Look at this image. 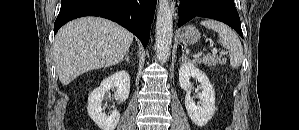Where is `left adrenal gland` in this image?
I'll return each mask as SVG.
<instances>
[{
	"label": "left adrenal gland",
	"mask_w": 299,
	"mask_h": 130,
	"mask_svg": "<svg viewBox=\"0 0 299 130\" xmlns=\"http://www.w3.org/2000/svg\"><path fill=\"white\" fill-rule=\"evenodd\" d=\"M180 60H181L182 62H184L185 60H187V56L183 53Z\"/></svg>",
	"instance_id": "obj_1"
}]
</instances>
